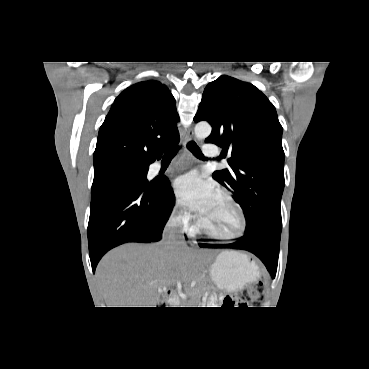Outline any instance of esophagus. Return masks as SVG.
<instances>
[{"label": "esophagus", "instance_id": "esophagus-1", "mask_svg": "<svg viewBox=\"0 0 369 369\" xmlns=\"http://www.w3.org/2000/svg\"><path fill=\"white\" fill-rule=\"evenodd\" d=\"M194 139V131H193V128L190 127L187 131V135L186 137L184 138L183 140V144L184 146L186 147V145L188 144V142L192 141ZM192 246H195V242L193 241L191 243Z\"/></svg>", "mask_w": 369, "mask_h": 369}]
</instances>
